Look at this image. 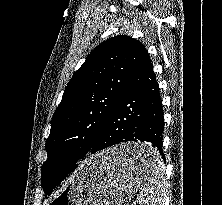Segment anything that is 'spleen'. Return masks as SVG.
Returning <instances> with one entry per match:
<instances>
[{
  "mask_svg": "<svg viewBox=\"0 0 222 205\" xmlns=\"http://www.w3.org/2000/svg\"><path fill=\"white\" fill-rule=\"evenodd\" d=\"M165 166L158 156L153 158L149 175L146 178L141 191V205H164L165 193Z\"/></svg>",
  "mask_w": 222,
  "mask_h": 205,
  "instance_id": "spleen-1",
  "label": "spleen"
}]
</instances>
